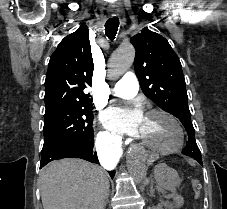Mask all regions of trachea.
Here are the masks:
<instances>
[{
    "mask_svg": "<svg viewBox=\"0 0 227 209\" xmlns=\"http://www.w3.org/2000/svg\"><path fill=\"white\" fill-rule=\"evenodd\" d=\"M119 27L118 17L109 18L105 24V33L110 40H114Z\"/></svg>",
    "mask_w": 227,
    "mask_h": 209,
    "instance_id": "obj_1",
    "label": "trachea"
}]
</instances>
